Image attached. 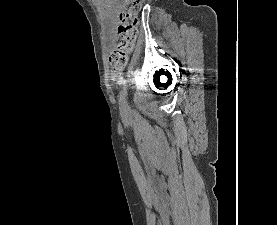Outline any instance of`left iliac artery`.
Instances as JSON below:
<instances>
[{
  "label": "left iliac artery",
  "instance_id": "left-iliac-artery-1",
  "mask_svg": "<svg viewBox=\"0 0 277 225\" xmlns=\"http://www.w3.org/2000/svg\"><path fill=\"white\" fill-rule=\"evenodd\" d=\"M126 96H127V84L125 83L119 93V104H120L121 110L126 109V105H127Z\"/></svg>",
  "mask_w": 277,
  "mask_h": 225
}]
</instances>
